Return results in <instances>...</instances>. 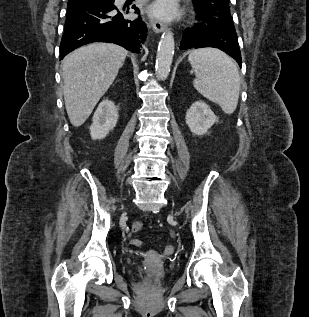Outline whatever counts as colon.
Instances as JSON below:
<instances>
[{"label": "colon", "instance_id": "obj_1", "mask_svg": "<svg viewBox=\"0 0 309 317\" xmlns=\"http://www.w3.org/2000/svg\"><path fill=\"white\" fill-rule=\"evenodd\" d=\"M142 227H143V224L141 222H139V221H136V222H134L132 224L131 229H132L133 232H139L142 229ZM130 243H131V245L136 246V247H139V246L142 245V241L140 239H137V238L132 239L130 241ZM166 251L167 252H171L172 251V247H167Z\"/></svg>", "mask_w": 309, "mask_h": 317}]
</instances>
